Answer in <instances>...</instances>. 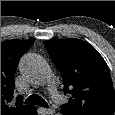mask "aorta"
I'll return each instance as SVG.
<instances>
[{"label":"aorta","instance_id":"obj_1","mask_svg":"<svg viewBox=\"0 0 115 115\" xmlns=\"http://www.w3.org/2000/svg\"><path fill=\"white\" fill-rule=\"evenodd\" d=\"M27 73L33 79H37L38 81H42V75L46 72L47 66L44 59L37 54L30 53L25 57ZM52 114V111H49Z\"/></svg>","mask_w":115,"mask_h":115}]
</instances>
